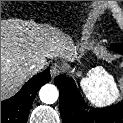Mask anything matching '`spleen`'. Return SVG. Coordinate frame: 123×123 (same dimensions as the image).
Returning <instances> with one entry per match:
<instances>
[{"mask_svg": "<svg viewBox=\"0 0 123 123\" xmlns=\"http://www.w3.org/2000/svg\"><path fill=\"white\" fill-rule=\"evenodd\" d=\"M85 97L94 105H110L119 97L114 77L103 67H96L80 82Z\"/></svg>", "mask_w": 123, "mask_h": 123, "instance_id": "spleen-1", "label": "spleen"}]
</instances>
